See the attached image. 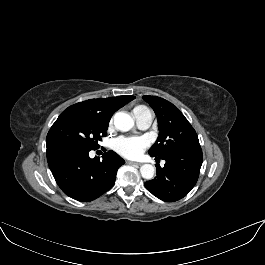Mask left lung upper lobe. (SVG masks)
Returning <instances> with one entry per match:
<instances>
[{
    "label": "left lung upper lobe",
    "instance_id": "obj_1",
    "mask_svg": "<svg viewBox=\"0 0 265 265\" xmlns=\"http://www.w3.org/2000/svg\"><path fill=\"white\" fill-rule=\"evenodd\" d=\"M143 99L155 111L160 131L149 150L152 157H163L174 150L200 146L196 131L175 105L157 96H143Z\"/></svg>",
    "mask_w": 265,
    "mask_h": 265
}]
</instances>
